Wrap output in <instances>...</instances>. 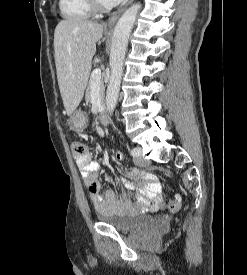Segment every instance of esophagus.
I'll return each mask as SVG.
<instances>
[{"instance_id":"34e87169","label":"esophagus","mask_w":247,"mask_h":275,"mask_svg":"<svg viewBox=\"0 0 247 275\" xmlns=\"http://www.w3.org/2000/svg\"><path fill=\"white\" fill-rule=\"evenodd\" d=\"M132 2H133V0H129L128 3H127L124 7L120 8L119 10H117L116 12H114V13L112 14V16L108 19V26H109V27L114 26V24L116 23V21L118 20V18H119L120 15L122 14V12H123V11L126 9V7H127L128 5H130Z\"/></svg>"}]
</instances>
